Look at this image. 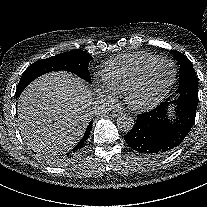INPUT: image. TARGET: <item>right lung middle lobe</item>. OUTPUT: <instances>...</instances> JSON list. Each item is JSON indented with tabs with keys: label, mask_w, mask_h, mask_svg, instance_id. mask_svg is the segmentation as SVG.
Instances as JSON below:
<instances>
[{
	"label": "right lung middle lobe",
	"mask_w": 207,
	"mask_h": 207,
	"mask_svg": "<svg viewBox=\"0 0 207 207\" xmlns=\"http://www.w3.org/2000/svg\"><path fill=\"white\" fill-rule=\"evenodd\" d=\"M91 60V55L81 50H72L44 60H39L31 64L23 72L16 89V97H19L25 87L34 79L52 71L65 70L76 74L87 82H91V77L88 71V63Z\"/></svg>",
	"instance_id": "obj_1"
}]
</instances>
